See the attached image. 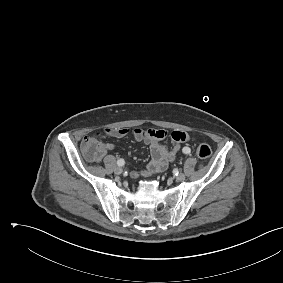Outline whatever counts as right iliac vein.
<instances>
[{
	"label": "right iliac vein",
	"instance_id": "1",
	"mask_svg": "<svg viewBox=\"0 0 283 283\" xmlns=\"http://www.w3.org/2000/svg\"><path fill=\"white\" fill-rule=\"evenodd\" d=\"M115 174L120 175L123 172V169L121 167H117L114 170Z\"/></svg>",
	"mask_w": 283,
	"mask_h": 283
}]
</instances>
